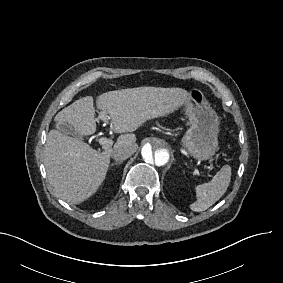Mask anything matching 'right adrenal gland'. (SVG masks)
Instances as JSON below:
<instances>
[{"mask_svg":"<svg viewBox=\"0 0 283 283\" xmlns=\"http://www.w3.org/2000/svg\"><path fill=\"white\" fill-rule=\"evenodd\" d=\"M118 164H121V162L112 163L111 166L118 165Z\"/></svg>","mask_w":283,"mask_h":283,"instance_id":"right-adrenal-gland-1","label":"right adrenal gland"}]
</instances>
